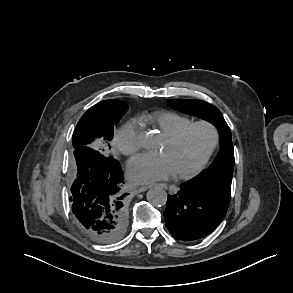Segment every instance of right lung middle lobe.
<instances>
[{
    "label": "right lung middle lobe",
    "mask_w": 293,
    "mask_h": 293,
    "mask_svg": "<svg viewBox=\"0 0 293 293\" xmlns=\"http://www.w3.org/2000/svg\"><path fill=\"white\" fill-rule=\"evenodd\" d=\"M127 109V105L120 100L101 101L88 109L74 130L73 148L90 146L93 140L100 137L111 140L114 125L120 121Z\"/></svg>",
    "instance_id": "obj_1"
}]
</instances>
